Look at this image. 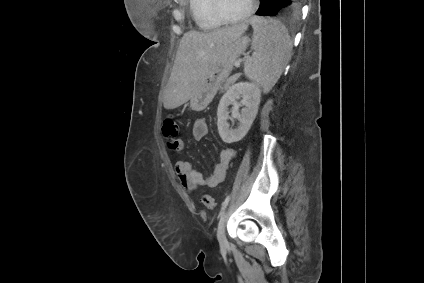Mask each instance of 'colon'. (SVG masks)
Here are the masks:
<instances>
[{
	"instance_id": "5ec220e1",
	"label": "colon",
	"mask_w": 424,
	"mask_h": 283,
	"mask_svg": "<svg viewBox=\"0 0 424 283\" xmlns=\"http://www.w3.org/2000/svg\"><path fill=\"white\" fill-rule=\"evenodd\" d=\"M162 133L165 138L168 140V144L171 149L179 151L182 148V142L178 138L179 135V125L176 117L168 115L164 118L162 125ZM201 201L204 206L208 209H214L215 201L212 196L208 194H203L201 196Z\"/></svg>"
}]
</instances>
